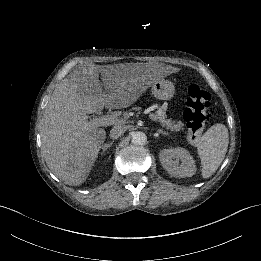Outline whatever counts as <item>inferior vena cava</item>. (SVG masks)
Here are the masks:
<instances>
[{
	"label": "inferior vena cava",
	"mask_w": 261,
	"mask_h": 261,
	"mask_svg": "<svg viewBox=\"0 0 261 261\" xmlns=\"http://www.w3.org/2000/svg\"><path fill=\"white\" fill-rule=\"evenodd\" d=\"M125 131V126H115L110 130L109 136L111 139H117L123 136Z\"/></svg>",
	"instance_id": "obj_1"
}]
</instances>
